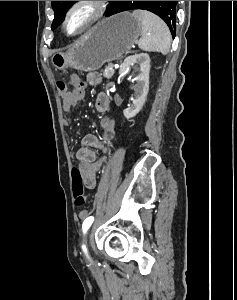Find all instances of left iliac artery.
I'll return each mask as SVG.
<instances>
[{
	"label": "left iliac artery",
	"mask_w": 237,
	"mask_h": 300,
	"mask_svg": "<svg viewBox=\"0 0 237 300\" xmlns=\"http://www.w3.org/2000/svg\"><path fill=\"white\" fill-rule=\"evenodd\" d=\"M94 221V217L93 216H90L88 218L85 219V221L83 222V225H82V230H83V233L85 234L87 232V230L90 228L91 224L93 223ZM82 249L85 253H87V249H86V246L85 245H82Z\"/></svg>",
	"instance_id": "obj_1"
}]
</instances>
